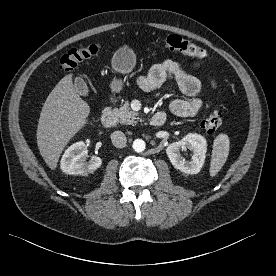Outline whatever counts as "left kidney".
<instances>
[{
    "mask_svg": "<svg viewBox=\"0 0 276 276\" xmlns=\"http://www.w3.org/2000/svg\"><path fill=\"white\" fill-rule=\"evenodd\" d=\"M188 148L193 155L191 160H186L180 153ZM206 139L196 133H189L178 142L171 143L166 148V153L174 168L186 174H197L200 172L206 157Z\"/></svg>",
    "mask_w": 276,
    "mask_h": 276,
    "instance_id": "5707ae66",
    "label": "left kidney"
}]
</instances>
